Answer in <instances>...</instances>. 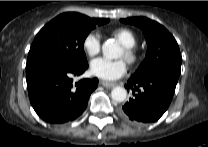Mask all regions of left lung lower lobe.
<instances>
[{
	"mask_svg": "<svg viewBox=\"0 0 208 147\" xmlns=\"http://www.w3.org/2000/svg\"><path fill=\"white\" fill-rule=\"evenodd\" d=\"M178 78L167 71L131 77L125 87L133 97L119 109L120 117L134 125L157 121L171 103Z\"/></svg>",
	"mask_w": 208,
	"mask_h": 147,
	"instance_id": "0a47b994",
	"label": "left lung lower lobe"
}]
</instances>
